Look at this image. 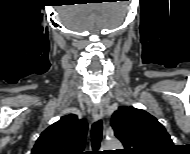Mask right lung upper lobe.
<instances>
[{
	"label": "right lung upper lobe",
	"instance_id": "1",
	"mask_svg": "<svg viewBox=\"0 0 190 154\" xmlns=\"http://www.w3.org/2000/svg\"><path fill=\"white\" fill-rule=\"evenodd\" d=\"M87 134L85 119L69 114L49 126L37 139L31 154H80Z\"/></svg>",
	"mask_w": 190,
	"mask_h": 154
}]
</instances>
